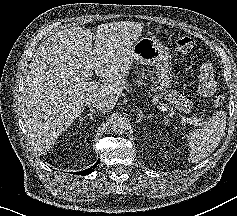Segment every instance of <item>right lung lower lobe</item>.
I'll list each match as a JSON object with an SVG mask.
<instances>
[{"mask_svg":"<svg viewBox=\"0 0 237 216\" xmlns=\"http://www.w3.org/2000/svg\"><path fill=\"white\" fill-rule=\"evenodd\" d=\"M100 162V160H98L93 166H91L90 168L86 169V170H83V171H80V172H76L75 174H78V175H88L90 173H92L95 169V167L98 165V163Z\"/></svg>","mask_w":237,"mask_h":216,"instance_id":"1","label":"right lung lower lobe"}]
</instances>
